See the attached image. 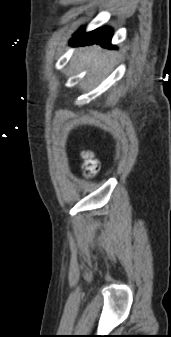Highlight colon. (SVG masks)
<instances>
[{"instance_id":"5ec220e1","label":"colon","mask_w":171,"mask_h":337,"mask_svg":"<svg viewBox=\"0 0 171 337\" xmlns=\"http://www.w3.org/2000/svg\"><path fill=\"white\" fill-rule=\"evenodd\" d=\"M81 158L84 160L83 166L89 174H94L98 171L99 164L89 151H82Z\"/></svg>"}]
</instances>
